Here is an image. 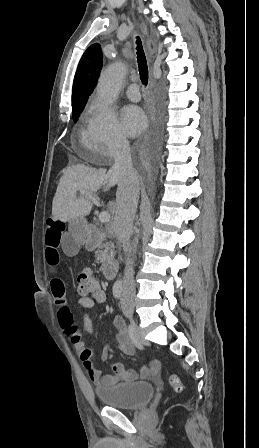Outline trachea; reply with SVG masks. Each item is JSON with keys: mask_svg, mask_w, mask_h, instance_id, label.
Wrapping results in <instances>:
<instances>
[{"mask_svg": "<svg viewBox=\"0 0 259 448\" xmlns=\"http://www.w3.org/2000/svg\"><path fill=\"white\" fill-rule=\"evenodd\" d=\"M136 43H137V47H136L137 62H138V67H139L140 79H141V82L143 83V85H147L148 84V65H147L145 53H144V50L142 47V42L139 39V37H137Z\"/></svg>", "mask_w": 259, "mask_h": 448, "instance_id": "3493384b", "label": "trachea"}]
</instances>
